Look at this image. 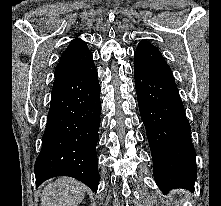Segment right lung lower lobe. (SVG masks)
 Here are the masks:
<instances>
[{
  "label": "right lung lower lobe",
  "instance_id": "98d812e1",
  "mask_svg": "<svg viewBox=\"0 0 221 206\" xmlns=\"http://www.w3.org/2000/svg\"><path fill=\"white\" fill-rule=\"evenodd\" d=\"M100 107V85L93 62L54 83L42 148L35 163L36 186L49 178L70 176L97 191Z\"/></svg>",
  "mask_w": 221,
  "mask_h": 206
}]
</instances>
